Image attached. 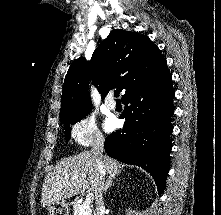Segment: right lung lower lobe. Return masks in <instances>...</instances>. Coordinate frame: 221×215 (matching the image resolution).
Instances as JSON below:
<instances>
[{
	"label": "right lung lower lobe",
	"mask_w": 221,
	"mask_h": 215,
	"mask_svg": "<svg viewBox=\"0 0 221 215\" xmlns=\"http://www.w3.org/2000/svg\"><path fill=\"white\" fill-rule=\"evenodd\" d=\"M168 69L122 98L126 118L122 131L105 140L110 157L149 172L161 194L169 172L174 90Z\"/></svg>",
	"instance_id": "98d812e1"
}]
</instances>
